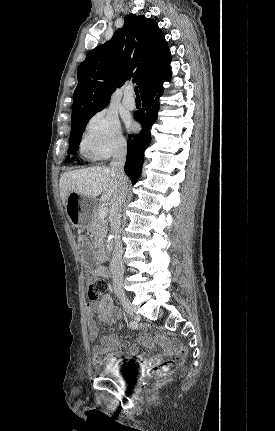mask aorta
<instances>
[{"label":"aorta","mask_w":275,"mask_h":431,"mask_svg":"<svg viewBox=\"0 0 275 431\" xmlns=\"http://www.w3.org/2000/svg\"><path fill=\"white\" fill-rule=\"evenodd\" d=\"M106 249L108 252H111L113 249V241L111 240V236L107 239Z\"/></svg>","instance_id":"aorta-1"}]
</instances>
